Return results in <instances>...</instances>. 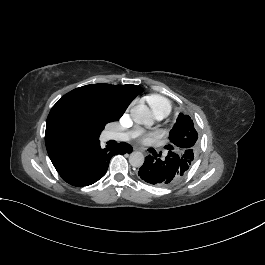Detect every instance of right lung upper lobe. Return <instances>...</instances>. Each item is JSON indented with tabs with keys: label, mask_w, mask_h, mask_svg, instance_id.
Wrapping results in <instances>:
<instances>
[{
	"label": "right lung upper lobe",
	"mask_w": 265,
	"mask_h": 265,
	"mask_svg": "<svg viewBox=\"0 0 265 265\" xmlns=\"http://www.w3.org/2000/svg\"><path fill=\"white\" fill-rule=\"evenodd\" d=\"M143 91L142 87L110 84H91L72 90L64 95L51 109L46 123L45 143L48 155L54 166L73 153L99 142L100 126L86 118L78 124H71L63 117L64 104L75 98L110 100L124 110Z\"/></svg>",
	"instance_id": "right-lung-upper-lobe-1"
}]
</instances>
